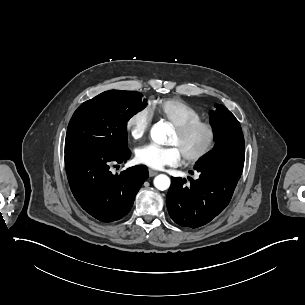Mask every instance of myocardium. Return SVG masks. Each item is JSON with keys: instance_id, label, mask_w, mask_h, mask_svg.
<instances>
[{"instance_id": "obj_1", "label": "myocardium", "mask_w": 305, "mask_h": 305, "mask_svg": "<svg viewBox=\"0 0 305 305\" xmlns=\"http://www.w3.org/2000/svg\"><path fill=\"white\" fill-rule=\"evenodd\" d=\"M175 130L182 136L194 132L196 129L204 128L208 132L206 144L197 152L183 156L187 163H197L204 160L215 148L218 140V131L216 126L207 120H196L188 123L174 125Z\"/></svg>"}]
</instances>
